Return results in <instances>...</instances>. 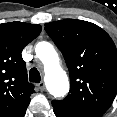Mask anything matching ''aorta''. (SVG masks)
<instances>
[{
  "mask_svg": "<svg viewBox=\"0 0 117 117\" xmlns=\"http://www.w3.org/2000/svg\"><path fill=\"white\" fill-rule=\"evenodd\" d=\"M36 55L44 65L47 88L54 97H63L69 91L68 77L60 66L59 56L53 45L40 42L36 46Z\"/></svg>",
  "mask_w": 117,
  "mask_h": 117,
  "instance_id": "obj_1",
  "label": "aorta"
}]
</instances>
